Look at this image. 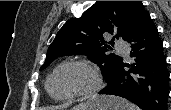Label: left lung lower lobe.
Segmentation results:
<instances>
[{"mask_svg":"<svg viewBox=\"0 0 171 110\" xmlns=\"http://www.w3.org/2000/svg\"><path fill=\"white\" fill-rule=\"evenodd\" d=\"M129 43L135 63L130 66L121 61L100 94L126 98L142 110H167L169 72L162 41L150 15Z\"/></svg>","mask_w":171,"mask_h":110,"instance_id":"1","label":"left lung lower lobe"}]
</instances>
